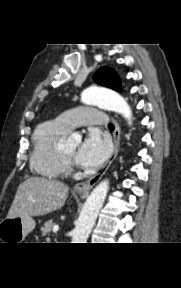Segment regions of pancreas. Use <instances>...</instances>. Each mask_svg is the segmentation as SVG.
<instances>
[{
	"instance_id": "cf45deb5",
	"label": "pancreas",
	"mask_w": 181,
	"mask_h": 288,
	"mask_svg": "<svg viewBox=\"0 0 181 288\" xmlns=\"http://www.w3.org/2000/svg\"><path fill=\"white\" fill-rule=\"evenodd\" d=\"M54 225H55V223L53 222V220H49V221L45 222L44 226L41 227L42 235L45 236V235L49 234Z\"/></svg>"
}]
</instances>
